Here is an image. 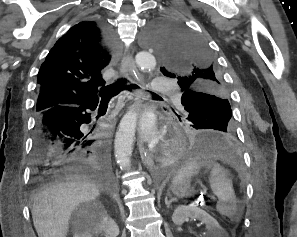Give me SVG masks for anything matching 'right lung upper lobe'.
<instances>
[{
    "mask_svg": "<svg viewBox=\"0 0 297 237\" xmlns=\"http://www.w3.org/2000/svg\"><path fill=\"white\" fill-rule=\"evenodd\" d=\"M112 40L95 21L80 22L62 36L41 65L36 112L98 101L102 70L111 60Z\"/></svg>",
    "mask_w": 297,
    "mask_h": 237,
    "instance_id": "cb5924a9",
    "label": "right lung upper lobe"
}]
</instances>
